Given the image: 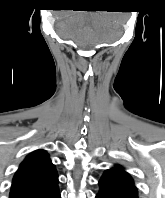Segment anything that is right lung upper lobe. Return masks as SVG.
I'll use <instances>...</instances> for the list:
<instances>
[{"label":"right lung upper lobe","mask_w":165,"mask_h":198,"mask_svg":"<svg viewBox=\"0 0 165 198\" xmlns=\"http://www.w3.org/2000/svg\"><path fill=\"white\" fill-rule=\"evenodd\" d=\"M58 188V174L44 150L30 153L14 175L9 198H41Z\"/></svg>","instance_id":"obj_1"}]
</instances>
